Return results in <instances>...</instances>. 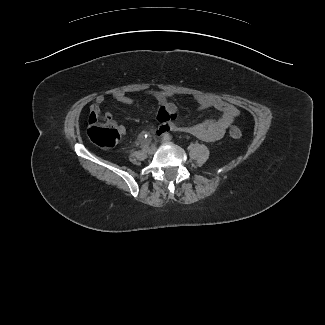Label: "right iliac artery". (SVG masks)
I'll return each mask as SVG.
<instances>
[{"label": "right iliac artery", "mask_w": 325, "mask_h": 325, "mask_svg": "<svg viewBox=\"0 0 325 325\" xmlns=\"http://www.w3.org/2000/svg\"><path fill=\"white\" fill-rule=\"evenodd\" d=\"M148 148H149V145L148 144H144L142 149H143V151L146 152L148 150Z\"/></svg>", "instance_id": "82829eb1"}]
</instances>
